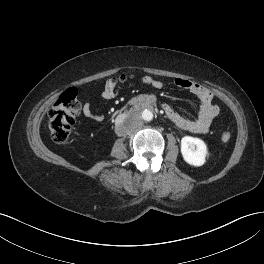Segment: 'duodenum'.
<instances>
[{"instance_id": "1", "label": "duodenum", "mask_w": 264, "mask_h": 264, "mask_svg": "<svg viewBox=\"0 0 264 264\" xmlns=\"http://www.w3.org/2000/svg\"><path fill=\"white\" fill-rule=\"evenodd\" d=\"M154 107V99L149 96H143L136 99L135 108L137 109H151ZM134 110H128L122 113L125 118L131 116Z\"/></svg>"}]
</instances>
